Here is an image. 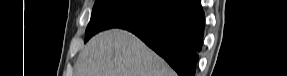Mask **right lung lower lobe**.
Returning a JSON list of instances; mask_svg holds the SVG:
<instances>
[{
	"mask_svg": "<svg viewBox=\"0 0 287 76\" xmlns=\"http://www.w3.org/2000/svg\"><path fill=\"white\" fill-rule=\"evenodd\" d=\"M204 22L200 0H172L158 16L128 31L163 57L179 76H194Z\"/></svg>",
	"mask_w": 287,
	"mask_h": 76,
	"instance_id": "1",
	"label": "right lung lower lobe"
}]
</instances>
